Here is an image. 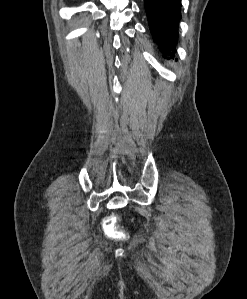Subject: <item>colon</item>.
I'll return each instance as SVG.
<instances>
[{
    "label": "colon",
    "mask_w": 247,
    "mask_h": 299,
    "mask_svg": "<svg viewBox=\"0 0 247 299\" xmlns=\"http://www.w3.org/2000/svg\"><path fill=\"white\" fill-rule=\"evenodd\" d=\"M106 232L111 236H118L120 232L117 230L115 221L113 219H108L105 223Z\"/></svg>",
    "instance_id": "1"
}]
</instances>
